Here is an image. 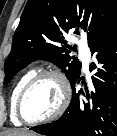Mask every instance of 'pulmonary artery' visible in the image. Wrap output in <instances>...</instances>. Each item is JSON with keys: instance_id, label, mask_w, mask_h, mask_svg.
I'll return each instance as SVG.
<instances>
[{"instance_id": "e3ab8cb5", "label": "pulmonary artery", "mask_w": 117, "mask_h": 136, "mask_svg": "<svg viewBox=\"0 0 117 136\" xmlns=\"http://www.w3.org/2000/svg\"><path fill=\"white\" fill-rule=\"evenodd\" d=\"M79 53H80V57L83 61L84 69L87 70L88 65H89V61H90V56H91L90 50L88 47H86L84 45V43H80Z\"/></svg>"}]
</instances>
